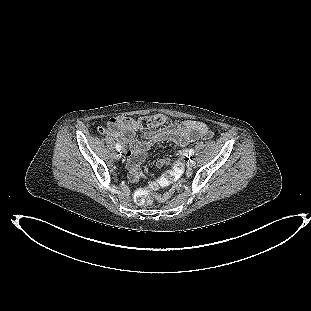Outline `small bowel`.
Returning <instances> with one entry per match:
<instances>
[{"label": "small bowel", "mask_w": 311, "mask_h": 311, "mask_svg": "<svg viewBox=\"0 0 311 311\" xmlns=\"http://www.w3.org/2000/svg\"><path fill=\"white\" fill-rule=\"evenodd\" d=\"M117 122V129L112 128V124ZM139 129L138 121L127 116H118L111 118L107 123V133L116 139H120L128 146V151L125 153L127 167L129 169L130 178L133 181H138L140 178V164L147 156L150 147L159 142H172L179 147H184L191 142L200 138H208L211 132L208 126L201 121L185 120L182 123H171L164 127L145 131L143 139L135 138V131ZM103 131V128H99ZM184 155L186 153L184 152ZM168 163L166 159H160L157 164L163 166ZM166 195L162 196V199Z\"/></svg>", "instance_id": "1"}]
</instances>
